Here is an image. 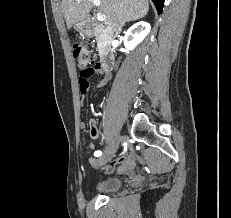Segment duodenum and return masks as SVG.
I'll use <instances>...</instances> for the list:
<instances>
[{
    "instance_id": "410a0bca",
    "label": "duodenum",
    "mask_w": 231,
    "mask_h": 218,
    "mask_svg": "<svg viewBox=\"0 0 231 218\" xmlns=\"http://www.w3.org/2000/svg\"><path fill=\"white\" fill-rule=\"evenodd\" d=\"M83 28L85 31L90 32L94 35H103L106 38H110L111 36V30L109 27L103 25V24H97V23H91L89 21L83 22ZM115 59L111 52L106 51L101 59L100 62V69L104 73H109L113 67H114Z\"/></svg>"
}]
</instances>
